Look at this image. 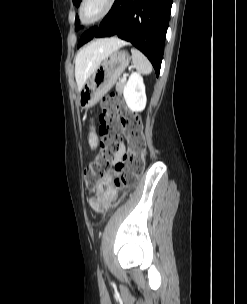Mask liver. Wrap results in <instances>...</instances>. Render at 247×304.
I'll return each instance as SVG.
<instances>
[{
  "label": "liver",
  "mask_w": 247,
  "mask_h": 304,
  "mask_svg": "<svg viewBox=\"0 0 247 304\" xmlns=\"http://www.w3.org/2000/svg\"><path fill=\"white\" fill-rule=\"evenodd\" d=\"M126 42L118 38L98 39L83 47L75 58V78L78 90H81L87 79L95 72L101 62Z\"/></svg>",
  "instance_id": "6515ba94"
}]
</instances>
